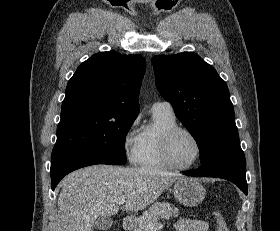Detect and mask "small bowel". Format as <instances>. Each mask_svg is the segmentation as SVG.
I'll return each instance as SVG.
<instances>
[{"label": "small bowel", "instance_id": "small-bowel-1", "mask_svg": "<svg viewBox=\"0 0 280 231\" xmlns=\"http://www.w3.org/2000/svg\"><path fill=\"white\" fill-rule=\"evenodd\" d=\"M175 231H208V224L204 220L182 217L175 223Z\"/></svg>", "mask_w": 280, "mask_h": 231}]
</instances>
